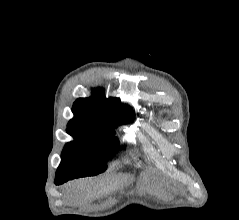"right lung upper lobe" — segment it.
<instances>
[{"mask_svg":"<svg viewBox=\"0 0 239 220\" xmlns=\"http://www.w3.org/2000/svg\"><path fill=\"white\" fill-rule=\"evenodd\" d=\"M74 118L68 125L89 128H104L130 121L134 117L131 107L121 104L118 98H106L103 90L94 89L89 98H79L72 109Z\"/></svg>","mask_w":239,"mask_h":220,"instance_id":"right-lung-upper-lobe-1","label":"right lung upper lobe"}]
</instances>
